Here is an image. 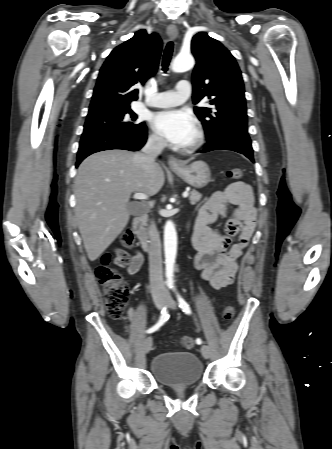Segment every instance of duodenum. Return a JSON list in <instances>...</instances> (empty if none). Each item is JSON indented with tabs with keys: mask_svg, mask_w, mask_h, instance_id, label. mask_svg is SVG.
Here are the masks:
<instances>
[{
	"mask_svg": "<svg viewBox=\"0 0 332 449\" xmlns=\"http://www.w3.org/2000/svg\"><path fill=\"white\" fill-rule=\"evenodd\" d=\"M146 220L147 213L144 212L136 216L132 223V231L137 236L143 249L148 250L149 248V235L146 231Z\"/></svg>",
	"mask_w": 332,
	"mask_h": 449,
	"instance_id": "obj_1",
	"label": "duodenum"
}]
</instances>
